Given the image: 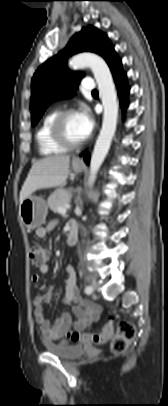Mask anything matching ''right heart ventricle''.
Returning <instances> with one entry per match:
<instances>
[{
	"instance_id": "1",
	"label": "right heart ventricle",
	"mask_w": 168,
	"mask_h": 406,
	"mask_svg": "<svg viewBox=\"0 0 168 406\" xmlns=\"http://www.w3.org/2000/svg\"><path fill=\"white\" fill-rule=\"evenodd\" d=\"M57 113H58L57 110H53L47 113L43 117L40 126L36 132V142L38 145V149L40 154L44 156L59 154L64 152L66 149L55 143L51 138L50 127Z\"/></svg>"
}]
</instances>
